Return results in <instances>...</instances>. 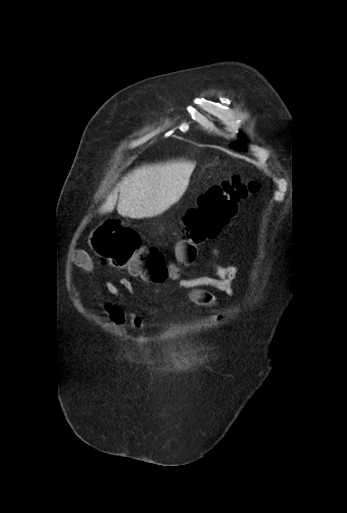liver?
Here are the masks:
<instances>
[{
	"mask_svg": "<svg viewBox=\"0 0 347 513\" xmlns=\"http://www.w3.org/2000/svg\"><path fill=\"white\" fill-rule=\"evenodd\" d=\"M194 168L195 163L183 160L137 168L122 178L100 210L112 212L118 199L117 211L121 216L160 214L185 192Z\"/></svg>",
	"mask_w": 347,
	"mask_h": 513,
	"instance_id": "obj_1",
	"label": "liver"
}]
</instances>
